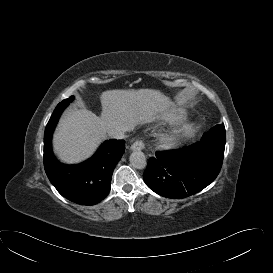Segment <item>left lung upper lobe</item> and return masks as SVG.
Here are the masks:
<instances>
[{"label": "left lung upper lobe", "instance_id": "left-lung-upper-lobe-1", "mask_svg": "<svg viewBox=\"0 0 273 273\" xmlns=\"http://www.w3.org/2000/svg\"><path fill=\"white\" fill-rule=\"evenodd\" d=\"M201 141L207 144H213L224 151L226 142L224 124H218L211 128L203 135Z\"/></svg>", "mask_w": 273, "mask_h": 273}]
</instances>
